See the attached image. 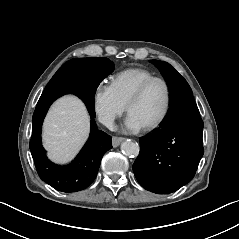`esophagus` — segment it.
<instances>
[{"mask_svg": "<svg viewBox=\"0 0 239 239\" xmlns=\"http://www.w3.org/2000/svg\"><path fill=\"white\" fill-rule=\"evenodd\" d=\"M123 140H125L124 137L114 136V137L112 138V145H113V147L119 146V144H120Z\"/></svg>", "mask_w": 239, "mask_h": 239, "instance_id": "34e87169", "label": "esophagus"}]
</instances>
